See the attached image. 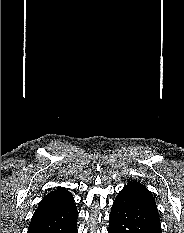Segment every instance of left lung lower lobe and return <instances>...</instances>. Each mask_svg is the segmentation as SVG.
<instances>
[{
  "mask_svg": "<svg viewBox=\"0 0 184 233\" xmlns=\"http://www.w3.org/2000/svg\"><path fill=\"white\" fill-rule=\"evenodd\" d=\"M109 233H162L153 209L133 193L121 190L111 208Z\"/></svg>",
  "mask_w": 184,
  "mask_h": 233,
  "instance_id": "left-lung-lower-lobe-1",
  "label": "left lung lower lobe"
}]
</instances>
